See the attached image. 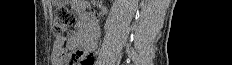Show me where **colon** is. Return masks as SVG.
Returning <instances> with one entry per match:
<instances>
[{
	"mask_svg": "<svg viewBox=\"0 0 232 65\" xmlns=\"http://www.w3.org/2000/svg\"><path fill=\"white\" fill-rule=\"evenodd\" d=\"M76 18L67 8L61 7L56 10L53 31L58 40L56 57L60 61H66L67 65H93L94 57L92 53L82 50L68 52L63 46V36L65 32L74 25Z\"/></svg>",
	"mask_w": 232,
	"mask_h": 65,
	"instance_id": "colon-1",
	"label": "colon"
}]
</instances>
